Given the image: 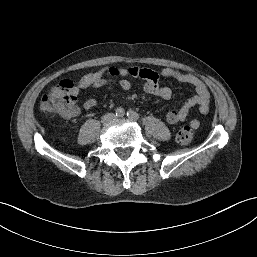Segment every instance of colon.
Returning a JSON list of instances; mask_svg holds the SVG:
<instances>
[{"mask_svg":"<svg viewBox=\"0 0 257 257\" xmlns=\"http://www.w3.org/2000/svg\"><path fill=\"white\" fill-rule=\"evenodd\" d=\"M76 85L71 80H63L45 94L40 102V109L45 115H66L77 107ZM194 129L191 126L182 127L176 139L180 144L186 145L192 142Z\"/></svg>","mask_w":257,"mask_h":257,"instance_id":"obj_1","label":"colon"}]
</instances>
